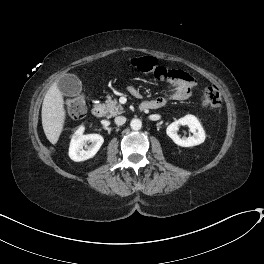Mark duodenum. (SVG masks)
<instances>
[{"mask_svg":"<svg viewBox=\"0 0 264 264\" xmlns=\"http://www.w3.org/2000/svg\"><path fill=\"white\" fill-rule=\"evenodd\" d=\"M134 95L137 96V92H134L133 93ZM140 110L141 111H146L148 110V107L145 106V105H142L140 107ZM105 111H106V108H105V105L100 102V101H96L94 102L93 106H92V115L95 117V118H102L105 114Z\"/></svg>","mask_w":264,"mask_h":264,"instance_id":"obj_1","label":"duodenum"}]
</instances>
